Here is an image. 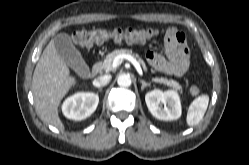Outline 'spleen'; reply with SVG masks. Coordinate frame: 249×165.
<instances>
[{
	"mask_svg": "<svg viewBox=\"0 0 249 165\" xmlns=\"http://www.w3.org/2000/svg\"><path fill=\"white\" fill-rule=\"evenodd\" d=\"M208 103V95H202L193 100L188 108L186 117V121L189 126L197 125L202 120L205 111L207 110Z\"/></svg>",
	"mask_w": 249,
	"mask_h": 165,
	"instance_id": "1",
	"label": "spleen"
}]
</instances>
